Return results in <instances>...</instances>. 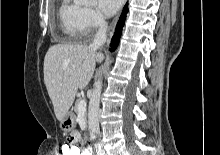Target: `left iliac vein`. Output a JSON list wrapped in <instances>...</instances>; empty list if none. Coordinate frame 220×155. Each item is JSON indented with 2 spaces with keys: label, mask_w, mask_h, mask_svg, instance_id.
<instances>
[{
  "label": "left iliac vein",
  "mask_w": 220,
  "mask_h": 155,
  "mask_svg": "<svg viewBox=\"0 0 220 155\" xmlns=\"http://www.w3.org/2000/svg\"><path fill=\"white\" fill-rule=\"evenodd\" d=\"M101 155H107V154L103 153V154H101Z\"/></svg>",
  "instance_id": "obj_1"
}]
</instances>
